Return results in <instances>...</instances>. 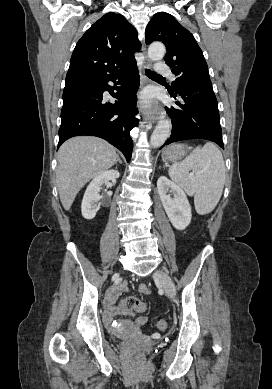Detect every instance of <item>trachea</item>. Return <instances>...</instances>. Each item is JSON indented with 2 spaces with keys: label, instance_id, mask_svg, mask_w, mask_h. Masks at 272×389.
Here are the masks:
<instances>
[{
  "label": "trachea",
  "instance_id": "obj_1",
  "mask_svg": "<svg viewBox=\"0 0 272 389\" xmlns=\"http://www.w3.org/2000/svg\"><path fill=\"white\" fill-rule=\"evenodd\" d=\"M145 73H146V75L148 76V77H150V78H163L161 75H158V74H156V73H154L153 71H151V70H148V69H146L145 70Z\"/></svg>",
  "mask_w": 272,
  "mask_h": 389
}]
</instances>
